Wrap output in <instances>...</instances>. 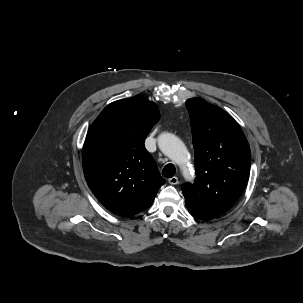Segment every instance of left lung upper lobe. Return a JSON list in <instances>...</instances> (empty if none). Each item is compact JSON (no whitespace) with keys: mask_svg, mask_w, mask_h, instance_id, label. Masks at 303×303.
Instances as JSON below:
<instances>
[{"mask_svg":"<svg viewBox=\"0 0 303 303\" xmlns=\"http://www.w3.org/2000/svg\"><path fill=\"white\" fill-rule=\"evenodd\" d=\"M195 183L184 184L186 206L219 218L238 201L249 177L250 149L236 121L201 98L188 99Z\"/></svg>","mask_w":303,"mask_h":303,"instance_id":"obj_1","label":"left lung upper lobe"}]
</instances>
